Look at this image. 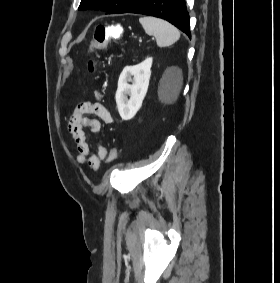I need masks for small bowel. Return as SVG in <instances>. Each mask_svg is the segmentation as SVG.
Instances as JSON below:
<instances>
[{
	"instance_id": "small-bowel-1",
	"label": "small bowel",
	"mask_w": 280,
	"mask_h": 283,
	"mask_svg": "<svg viewBox=\"0 0 280 283\" xmlns=\"http://www.w3.org/2000/svg\"><path fill=\"white\" fill-rule=\"evenodd\" d=\"M97 102H81L72 111L67 124V131L73 138L77 146L76 160L79 164L87 163L88 166L97 171L103 160H107L114 150L110 152L105 146H99L96 153L91 152L90 143L87 141L85 129L96 133L101 128V121L110 124L113 119L106 108L100 101L101 93L96 92ZM87 115H93L96 118H89Z\"/></svg>"
}]
</instances>
